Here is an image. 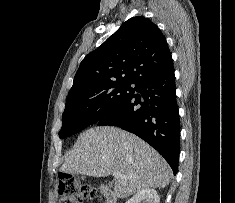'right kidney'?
Returning a JSON list of instances; mask_svg holds the SVG:
<instances>
[{"label":"right kidney","instance_id":"1","mask_svg":"<svg viewBox=\"0 0 235 203\" xmlns=\"http://www.w3.org/2000/svg\"><path fill=\"white\" fill-rule=\"evenodd\" d=\"M160 197L156 190L151 188H145L137 192L126 203H159Z\"/></svg>","mask_w":235,"mask_h":203}]
</instances>
